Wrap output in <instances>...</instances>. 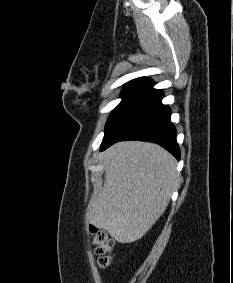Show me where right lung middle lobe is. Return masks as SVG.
I'll return each mask as SVG.
<instances>
[{"instance_id":"1","label":"right lung middle lobe","mask_w":233,"mask_h":283,"mask_svg":"<svg viewBox=\"0 0 233 283\" xmlns=\"http://www.w3.org/2000/svg\"><path fill=\"white\" fill-rule=\"evenodd\" d=\"M150 85V82H129L124 85L122 93L120 95L122 101L112 111L106 122L105 134L102 142H104L108 138L116 125L129 111L135 101Z\"/></svg>"}]
</instances>
